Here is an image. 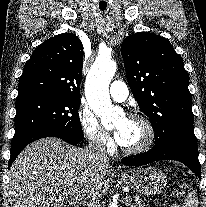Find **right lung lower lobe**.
<instances>
[{"instance_id": "98d812e1", "label": "right lung lower lobe", "mask_w": 206, "mask_h": 207, "mask_svg": "<svg viewBox=\"0 0 206 207\" xmlns=\"http://www.w3.org/2000/svg\"><path fill=\"white\" fill-rule=\"evenodd\" d=\"M44 137H58V138H61L64 141H66L72 145L77 144L82 140V138L72 137V136L65 134L63 132L54 131V130H46V131L34 133V134L28 136L27 138L23 139L19 143L11 145V151H10L11 156L9 159L8 167H10L12 165L13 161L16 159V157L19 155V153L29 143H31L37 139L44 138Z\"/></svg>"}]
</instances>
